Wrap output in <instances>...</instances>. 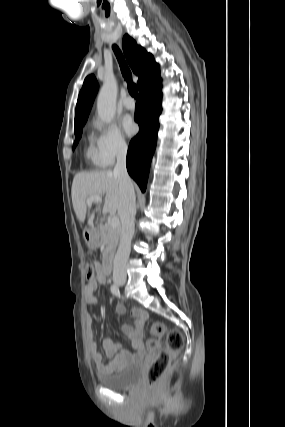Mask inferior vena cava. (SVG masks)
Instances as JSON below:
<instances>
[{
	"mask_svg": "<svg viewBox=\"0 0 285 427\" xmlns=\"http://www.w3.org/2000/svg\"><path fill=\"white\" fill-rule=\"evenodd\" d=\"M127 146L119 147L114 174L118 176L120 200L118 214L121 220V237L113 263L114 275H126V264L130 254V244L134 235L136 196L132 181L126 169Z\"/></svg>",
	"mask_w": 285,
	"mask_h": 427,
	"instance_id": "602c4592",
	"label": "inferior vena cava"
}]
</instances>
